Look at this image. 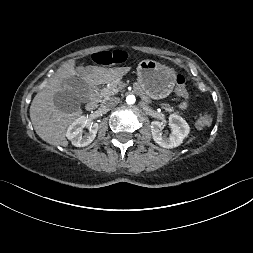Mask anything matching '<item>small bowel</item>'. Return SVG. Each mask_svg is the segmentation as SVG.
<instances>
[{
    "instance_id": "1",
    "label": "small bowel",
    "mask_w": 253,
    "mask_h": 253,
    "mask_svg": "<svg viewBox=\"0 0 253 253\" xmlns=\"http://www.w3.org/2000/svg\"><path fill=\"white\" fill-rule=\"evenodd\" d=\"M180 107L182 108V109H185L186 107H187V101H182L181 102V104H180Z\"/></svg>"
}]
</instances>
